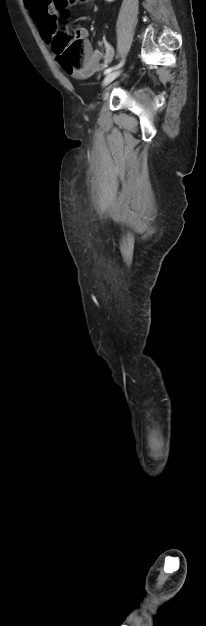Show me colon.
Returning <instances> with one entry per match:
<instances>
[{
  "label": "colon",
  "mask_w": 206,
  "mask_h": 626,
  "mask_svg": "<svg viewBox=\"0 0 206 626\" xmlns=\"http://www.w3.org/2000/svg\"><path fill=\"white\" fill-rule=\"evenodd\" d=\"M92 0H52V4L57 10H65L76 4L88 5ZM76 30L59 33L56 36L55 50L61 53L63 58L72 65L79 66L84 55V46L77 38Z\"/></svg>",
  "instance_id": "colon-1"
}]
</instances>
